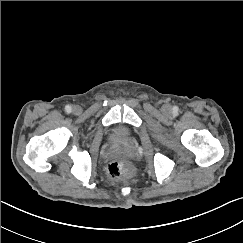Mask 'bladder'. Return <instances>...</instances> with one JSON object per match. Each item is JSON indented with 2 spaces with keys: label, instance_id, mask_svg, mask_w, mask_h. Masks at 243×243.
Returning a JSON list of instances; mask_svg holds the SVG:
<instances>
[{
  "label": "bladder",
  "instance_id": "obj_1",
  "mask_svg": "<svg viewBox=\"0 0 243 243\" xmlns=\"http://www.w3.org/2000/svg\"><path fill=\"white\" fill-rule=\"evenodd\" d=\"M128 137L129 131L123 125L116 126L111 133V140L115 143H122L126 141Z\"/></svg>",
  "mask_w": 243,
  "mask_h": 243
}]
</instances>
